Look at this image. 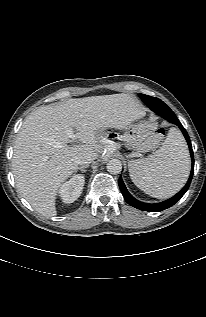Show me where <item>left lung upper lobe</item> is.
<instances>
[{
  "label": "left lung upper lobe",
  "instance_id": "left-lung-upper-lobe-1",
  "mask_svg": "<svg viewBox=\"0 0 206 317\" xmlns=\"http://www.w3.org/2000/svg\"><path fill=\"white\" fill-rule=\"evenodd\" d=\"M139 97L142 99V101H144V103L149 106L148 102L149 101H152L156 104H159L160 106H164V107H168L163 101H161L160 99L158 98H155V97H151V96H148V95H145V94H139Z\"/></svg>",
  "mask_w": 206,
  "mask_h": 317
}]
</instances>
